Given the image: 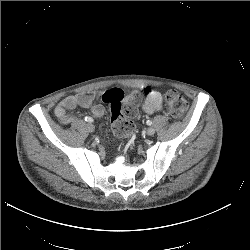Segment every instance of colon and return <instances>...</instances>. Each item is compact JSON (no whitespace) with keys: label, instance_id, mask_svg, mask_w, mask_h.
Instances as JSON below:
<instances>
[{"label":"colon","instance_id":"obj_1","mask_svg":"<svg viewBox=\"0 0 250 250\" xmlns=\"http://www.w3.org/2000/svg\"><path fill=\"white\" fill-rule=\"evenodd\" d=\"M103 102L109 105L113 131L119 136H129L134 131L132 122L128 119L136 113L141 101L139 92L125 93L120 88H110L99 94ZM170 115L176 119L184 116L188 103L177 91H168L165 94Z\"/></svg>","mask_w":250,"mask_h":250}]
</instances>
